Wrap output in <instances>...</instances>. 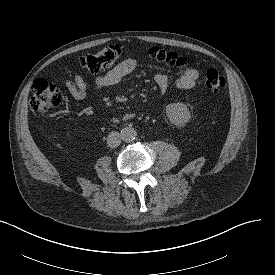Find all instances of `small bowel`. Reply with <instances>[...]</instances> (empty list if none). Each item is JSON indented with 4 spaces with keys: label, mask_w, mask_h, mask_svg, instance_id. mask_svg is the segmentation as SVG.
Returning <instances> with one entry per match:
<instances>
[{
    "label": "small bowel",
    "mask_w": 275,
    "mask_h": 275,
    "mask_svg": "<svg viewBox=\"0 0 275 275\" xmlns=\"http://www.w3.org/2000/svg\"><path fill=\"white\" fill-rule=\"evenodd\" d=\"M136 67V60L127 58L107 73L97 76L93 83H89L83 76L77 74L65 80L64 84L73 99L82 101L87 98L91 90L101 91L117 85L123 78L130 75ZM198 78L199 71L196 68H187L176 79L174 86L182 90L191 89L196 85ZM154 80L162 93L167 92L171 87L169 77L163 72L155 73ZM126 116L130 117L132 114Z\"/></svg>",
    "instance_id": "c3829d8e"
}]
</instances>
